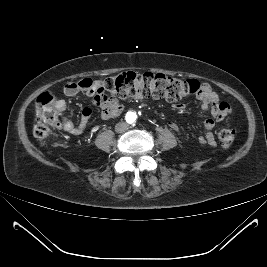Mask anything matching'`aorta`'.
<instances>
[{"label":"aorta","mask_w":267,"mask_h":267,"mask_svg":"<svg viewBox=\"0 0 267 267\" xmlns=\"http://www.w3.org/2000/svg\"><path fill=\"white\" fill-rule=\"evenodd\" d=\"M136 118H137V116H136L135 113H129V114L127 115V120H128V122H130V123H135V122H136Z\"/></svg>","instance_id":"1"}]
</instances>
